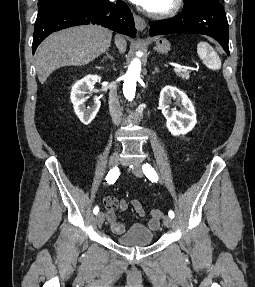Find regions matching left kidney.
<instances>
[{
	"label": "left kidney",
	"mask_w": 255,
	"mask_h": 287,
	"mask_svg": "<svg viewBox=\"0 0 255 287\" xmlns=\"http://www.w3.org/2000/svg\"><path fill=\"white\" fill-rule=\"evenodd\" d=\"M172 100H179L183 108L180 112L172 110L170 104ZM159 108L162 110L164 118H166V128L173 136H180V134H187L194 128L197 120L194 106L189 100L188 96L175 88V86H165L160 92Z\"/></svg>",
	"instance_id": "left-kidney-1"
}]
</instances>
